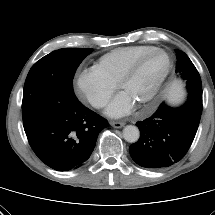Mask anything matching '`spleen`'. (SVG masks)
<instances>
[{
  "instance_id": "spleen-1",
  "label": "spleen",
  "mask_w": 215,
  "mask_h": 215,
  "mask_svg": "<svg viewBox=\"0 0 215 215\" xmlns=\"http://www.w3.org/2000/svg\"><path fill=\"white\" fill-rule=\"evenodd\" d=\"M167 102L175 110H184L192 102L190 84L182 76H173L165 84Z\"/></svg>"
}]
</instances>
